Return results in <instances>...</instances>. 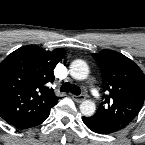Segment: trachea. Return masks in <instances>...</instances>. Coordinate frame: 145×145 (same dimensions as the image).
Listing matches in <instances>:
<instances>
[{
  "instance_id": "3493384b",
  "label": "trachea",
  "mask_w": 145,
  "mask_h": 145,
  "mask_svg": "<svg viewBox=\"0 0 145 145\" xmlns=\"http://www.w3.org/2000/svg\"><path fill=\"white\" fill-rule=\"evenodd\" d=\"M61 92H71L74 95H80L81 90L77 85L70 84L69 82L64 83L61 88Z\"/></svg>"
}]
</instances>
